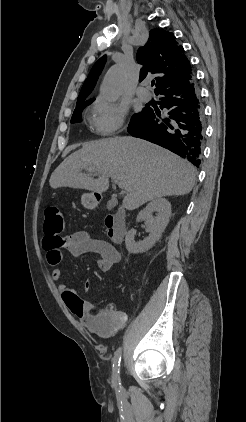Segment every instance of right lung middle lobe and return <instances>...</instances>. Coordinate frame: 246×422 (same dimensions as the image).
Listing matches in <instances>:
<instances>
[{"mask_svg": "<svg viewBox=\"0 0 246 422\" xmlns=\"http://www.w3.org/2000/svg\"><path fill=\"white\" fill-rule=\"evenodd\" d=\"M91 103H92V102H88V103L82 104V105H80V106H77V107L75 108V110H74L73 115H72L71 122H72V123L81 122V121H82V118H81V112L83 111V109H84L87 105H89V104H91ZM144 111H145V109H144L142 112H140V113L134 114V115H133V117H132V119H131V122H133V121H135V120L139 119V118H140V117L144 114Z\"/></svg>", "mask_w": 246, "mask_h": 422, "instance_id": "obj_1", "label": "right lung middle lobe"}]
</instances>
